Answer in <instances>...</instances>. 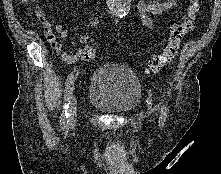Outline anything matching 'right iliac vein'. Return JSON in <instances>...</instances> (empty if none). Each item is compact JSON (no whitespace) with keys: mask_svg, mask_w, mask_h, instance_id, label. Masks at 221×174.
Masks as SVG:
<instances>
[{"mask_svg":"<svg viewBox=\"0 0 221 174\" xmlns=\"http://www.w3.org/2000/svg\"><path fill=\"white\" fill-rule=\"evenodd\" d=\"M77 120V100L75 96H72L69 107V124L74 126Z\"/></svg>","mask_w":221,"mask_h":174,"instance_id":"63e3f726","label":"right iliac vein"}]
</instances>
